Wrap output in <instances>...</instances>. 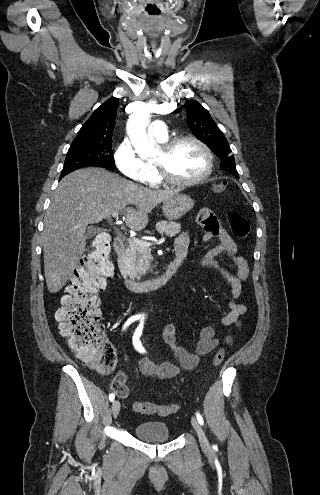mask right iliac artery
Instances as JSON below:
<instances>
[{
	"label": "right iliac artery",
	"instance_id": "obj_1",
	"mask_svg": "<svg viewBox=\"0 0 320 495\" xmlns=\"http://www.w3.org/2000/svg\"><path fill=\"white\" fill-rule=\"evenodd\" d=\"M139 317L137 315L135 316H132L130 317L125 323H124V326H123V330L126 329L132 322H134L135 320H137ZM115 398V394L112 393L109 395V400L112 402Z\"/></svg>",
	"mask_w": 320,
	"mask_h": 495
}]
</instances>
